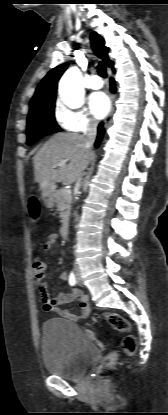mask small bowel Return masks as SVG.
I'll use <instances>...</instances> for the list:
<instances>
[{"label": "small bowel", "instance_id": "small-bowel-1", "mask_svg": "<svg viewBox=\"0 0 168 415\" xmlns=\"http://www.w3.org/2000/svg\"><path fill=\"white\" fill-rule=\"evenodd\" d=\"M57 240V234H50L43 245V249L46 251L50 250L52 246L57 242ZM44 271H46V266L44 267ZM59 277L64 283V287L63 290L54 298H50L48 296L45 286L43 285V279H41L39 283H36L43 303V309L48 312H54L58 316L65 318L71 322H77L79 320L86 319L89 316V304L87 297L79 289L69 286V277L66 272L60 273ZM75 300L78 302L80 309V313L78 315L73 314L62 307L63 305Z\"/></svg>", "mask_w": 168, "mask_h": 415}]
</instances>
